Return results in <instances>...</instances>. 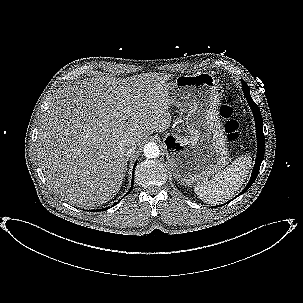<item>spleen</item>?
<instances>
[{
  "instance_id": "1",
  "label": "spleen",
  "mask_w": 303,
  "mask_h": 303,
  "mask_svg": "<svg viewBox=\"0 0 303 303\" xmlns=\"http://www.w3.org/2000/svg\"><path fill=\"white\" fill-rule=\"evenodd\" d=\"M251 164L250 155H241L211 180L196 185L194 192L205 203L221 204L232 198L240 189L248 176Z\"/></svg>"
}]
</instances>
